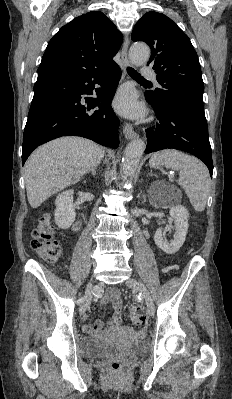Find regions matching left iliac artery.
I'll list each match as a JSON object with an SVG mask.
<instances>
[{
	"instance_id": "obj_1",
	"label": "left iliac artery",
	"mask_w": 232,
	"mask_h": 399,
	"mask_svg": "<svg viewBox=\"0 0 232 399\" xmlns=\"http://www.w3.org/2000/svg\"><path fill=\"white\" fill-rule=\"evenodd\" d=\"M136 297H137L138 300H142L144 298V294L142 292H138Z\"/></svg>"
}]
</instances>
